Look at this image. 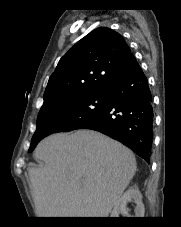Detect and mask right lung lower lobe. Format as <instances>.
Segmentation results:
<instances>
[{
	"instance_id": "98d812e1",
	"label": "right lung lower lobe",
	"mask_w": 181,
	"mask_h": 227,
	"mask_svg": "<svg viewBox=\"0 0 181 227\" xmlns=\"http://www.w3.org/2000/svg\"><path fill=\"white\" fill-rule=\"evenodd\" d=\"M105 108L83 129L106 134L149 162L153 139V103L147 78L136 59L108 88Z\"/></svg>"
}]
</instances>
